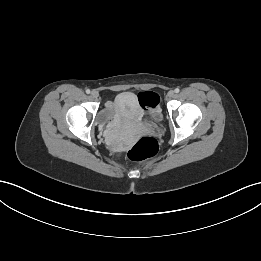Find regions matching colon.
<instances>
[{
    "label": "colon",
    "mask_w": 261,
    "mask_h": 261,
    "mask_svg": "<svg viewBox=\"0 0 261 261\" xmlns=\"http://www.w3.org/2000/svg\"><path fill=\"white\" fill-rule=\"evenodd\" d=\"M139 108L145 112L148 120L160 121L163 113L159 106L162 103V96L157 91H143L137 97ZM111 147L117 149L118 143L111 142ZM158 153V143L154 138H140L128 151L127 156L130 160L141 162L154 158Z\"/></svg>",
    "instance_id": "5ec220e1"
}]
</instances>
